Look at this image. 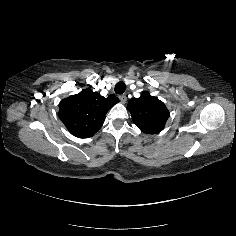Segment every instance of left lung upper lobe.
Wrapping results in <instances>:
<instances>
[{"label": "left lung upper lobe", "mask_w": 236, "mask_h": 236, "mask_svg": "<svg viewBox=\"0 0 236 236\" xmlns=\"http://www.w3.org/2000/svg\"><path fill=\"white\" fill-rule=\"evenodd\" d=\"M127 108L134 124L146 134L162 131L169 117L165 104L148 92H143L139 98L129 100Z\"/></svg>", "instance_id": "obj_1"}]
</instances>
